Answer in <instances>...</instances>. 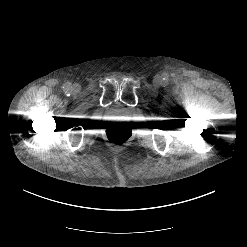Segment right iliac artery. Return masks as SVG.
Returning <instances> with one entry per match:
<instances>
[{
	"label": "right iliac artery",
	"mask_w": 247,
	"mask_h": 247,
	"mask_svg": "<svg viewBox=\"0 0 247 247\" xmlns=\"http://www.w3.org/2000/svg\"><path fill=\"white\" fill-rule=\"evenodd\" d=\"M70 88H71V84H70V83H66V84L63 86V89H64L65 91L70 90Z\"/></svg>",
	"instance_id": "1"
}]
</instances>
